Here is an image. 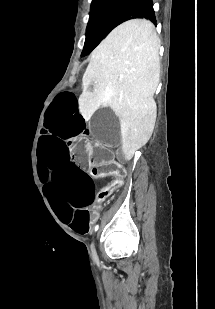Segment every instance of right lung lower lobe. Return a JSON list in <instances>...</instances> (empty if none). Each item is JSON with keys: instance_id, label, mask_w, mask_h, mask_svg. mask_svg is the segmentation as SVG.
<instances>
[{"instance_id": "98d812e1", "label": "right lung lower lobe", "mask_w": 215, "mask_h": 309, "mask_svg": "<svg viewBox=\"0 0 215 309\" xmlns=\"http://www.w3.org/2000/svg\"><path fill=\"white\" fill-rule=\"evenodd\" d=\"M135 18H145L156 24L152 0H131L119 18L117 25Z\"/></svg>"}]
</instances>
